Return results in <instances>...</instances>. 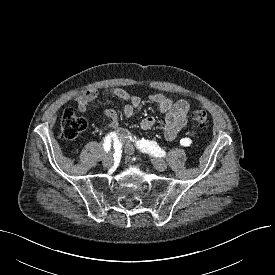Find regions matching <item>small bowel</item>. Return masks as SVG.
<instances>
[{
    "label": "small bowel",
    "mask_w": 275,
    "mask_h": 275,
    "mask_svg": "<svg viewBox=\"0 0 275 275\" xmlns=\"http://www.w3.org/2000/svg\"><path fill=\"white\" fill-rule=\"evenodd\" d=\"M106 93L126 101L123 108L126 117H131L141 104V100L138 96L131 95L121 88L108 89L106 90ZM98 95V89L90 88L76 94L73 101L77 104L78 109L84 112L87 109L88 104L95 100ZM150 100L158 106L160 112L165 114V120L162 126L165 138L168 140L174 139L187 125V113L190 108L189 103L183 99L172 101L163 94H153L150 96ZM104 114L110 120L108 126L109 134L116 135L118 140L126 143L125 151L127 154H131L134 149V144L130 139V133L119 126L117 112L113 109H105ZM156 123L154 117L147 116L142 119L140 128L143 131H147L155 127Z\"/></svg>",
    "instance_id": "c3829d8e"
}]
</instances>
